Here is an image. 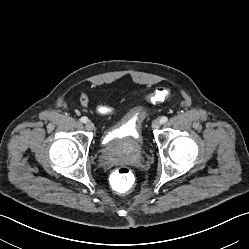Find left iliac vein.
Instances as JSON below:
<instances>
[{
  "label": "left iliac vein",
  "instance_id": "left-iliac-vein-1",
  "mask_svg": "<svg viewBox=\"0 0 249 249\" xmlns=\"http://www.w3.org/2000/svg\"><path fill=\"white\" fill-rule=\"evenodd\" d=\"M160 125H161V123H160V121L159 120H154L153 122H152V128L153 129H158L159 127H160Z\"/></svg>",
  "mask_w": 249,
  "mask_h": 249
}]
</instances>
